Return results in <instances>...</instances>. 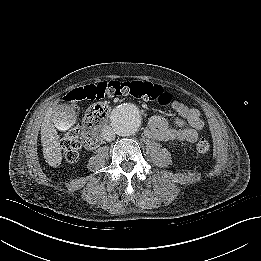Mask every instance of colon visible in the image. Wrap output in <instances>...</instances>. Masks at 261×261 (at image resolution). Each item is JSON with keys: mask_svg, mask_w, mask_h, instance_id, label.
Here are the masks:
<instances>
[{"mask_svg": "<svg viewBox=\"0 0 261 261\" xmlns=\"http://www.w3.org/2000/svg\"><path fill=\"white\" fill-rule=\"evenodd\" d=\"M120 96H131L137 99L157 101L160 104H168L171 100L170 92L162 86L140 80L133 81H103L97 84L88 85L71 91L66 96L68 104H75L78 101L89 99L97 103L90 106L85 115L86 134L81 140L80 130L73 127L68 130L61 142L62 154L69 163H75L79 159L82 144L92 147L98 140L99 128L106 122L109 115V106L102 102ZM199 152H207L210 143L206 138L197 142Z\"/></svg>", "mask_w": 261, "mask_h": 261, "instance_id": "obj_1", "label": "colon"}]
</instances>
